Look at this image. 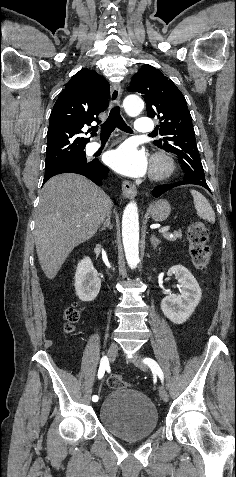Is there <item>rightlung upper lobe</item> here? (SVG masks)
Instances as JSON below:
<instances>
[{"instance_id":"obj_1","label":"right lung upper lobe","mask_w":236,"mask_h":477,"mask_svg":"<svg viewBox=\"0 0 236 477\" xmlns=\"http://www.w3.org/2000/svg\"><path fill=\"white\" fill-rule=\"evenodd\" d=\"M110 87L106 79L86 68L77 72L60 93L50 115L46 164H52L84 150L89 138L82 128L107 108ZM98 126L94 127L95 131ZM94 131V133H95Z\"/></svg>"}]
</instances>
